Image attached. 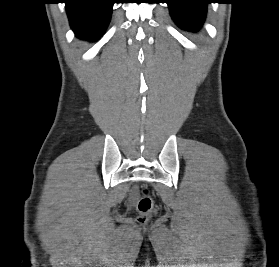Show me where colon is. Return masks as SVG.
Returning a JSON list of instances; mask_svg holds the SVG:
<instances>
[{"label":"colon","instance_id":"obj_1","mask_svg":"<svg viewBox=\"0 0 279 267\" xmlns=\"http://www.w3.org/2000/svg\"><path fill=\"white\" fill-rule=\"evenodd\" d=\"M137 208L139 211L138 220L141 223L148 221L155 211L154 201L146 188L143 190V195L138 201Z\"/></svg>","mask_w":279,"mask_h":267}]
</instances>
